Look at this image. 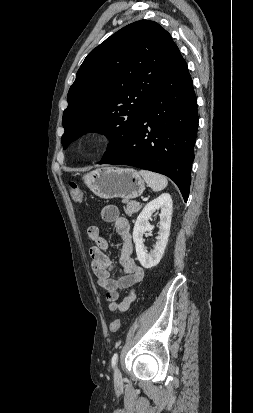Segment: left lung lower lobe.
<instances>
[{
  "label": "left lung lower lobe",
  "instance_id": "obj_1",
  "mask_svg": "<svg viewBox=\"0 0 253 413\" xmlns=\"http://www.w3.org/2000/svg\"><path fill=\"white\" fill-rule=\"evenodd\" d=\"M197 128V98L187 64L179 52L126 146L103 163L166 175L179 187L186 202Z\"/></svg>",
  "mask_w": 253,
  "mask_h": 413
}]
</instances>
